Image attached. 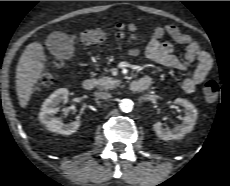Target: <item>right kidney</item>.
I'll return each mask as SVG.
<instances>
[{"label": "right kidney", "instance_id": "ca27d5eb", "mask_svg": "<svg viewBox=\"0 0 230 186\" xmlns=\"http://www.w3.org/2000/svg\"><path fill=\"white\" fill-rule=\"evenodd\" d=\"M68 94L69 91L66 88H60L53 92L42 104L39 119L49 131L63 135H71L80 127V121L64 124L59 118L53 117L59 110L58 105L62 102H67Z\"/></svg>", "mask_w": 230, "mask_h": 186}]
</instances>
